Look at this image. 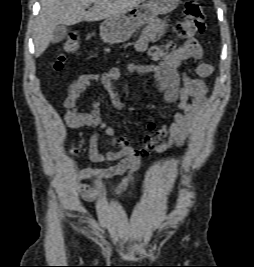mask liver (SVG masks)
<instances>
[{"label": "liver", "instance_id": "obj_1", "mask_svg": "<svg viewBox=\"0 0 254 267\" xmlns=\"http://www.w3.org/2000/svg\"><path fill=\"white\" fill-rule=\"evenodd\" d=\"M144 0H41V10L34 31L35 55L48 48L52 34L60 24L75 25L118 16L135 8ZM93 7L85 11V7Z\"/></svg>", "mask_w": 254, "mask_h": 267}]
</instances>
